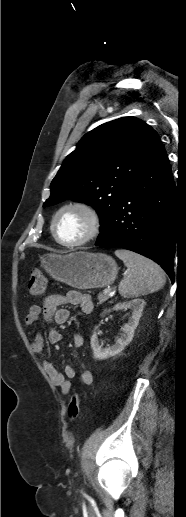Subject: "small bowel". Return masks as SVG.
<instances>
[{"mask_svg": "<svg viewBox=\"0 0 186 517\" xmlns=\"http://www.w3.org/2000/svg\"><path fill=\"white\" fill-rule=\"evenodd\" d=\"M63 305L80 306L85 314H89L93 310V302L89 294L78 291H70L65 295L56 294L45 297L41 304H34L29 308L24 323L31 326L36 323L40 316L43 315L47 320H54L58 324L66 323L70 318V311ZM62 340V335L57 329H50L48 332V341L51 344H57ZM84 339L80 334L73 336L74 351L83 346ZM32 349L36 354H42L44 351V338L41 334H36L32 340ZM45 372L50 378L53 385L60 388L62 394L68 395L72 388V379L76 377V371L72 365L64 367V374L59 372L55 366L48 360L43 361ZM80 381L84 385H90L93 382V375L83 368L80 373Z\"/></svg>", "mask_w": 186, "mask_h": 517, "instance_id": "c3829d8e", "label": "small bowel"}]
</instances>
